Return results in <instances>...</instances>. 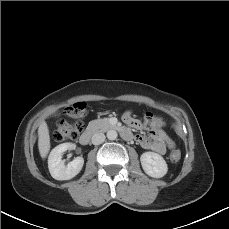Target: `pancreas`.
<instances>
[{"mask_svg":"<svg viewBox=\"0 0 229 229\" xmlns=\"http://www.w3.org/2000/svg\"><path fill=\"white\" fill-rule=\"evenodd\" d=\"M112 125L109 123L107 118L93 120L89 123L88 128L93 131H107Z\"/></svg>","mask_w":229,"mask_h":229,"instance_id":"obj_1","label":"pancreas"}]
</instances>
